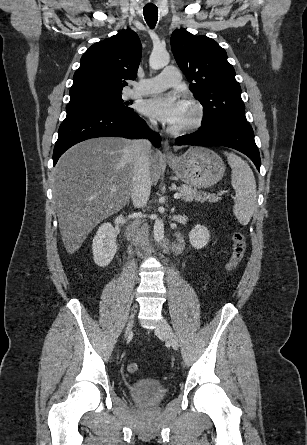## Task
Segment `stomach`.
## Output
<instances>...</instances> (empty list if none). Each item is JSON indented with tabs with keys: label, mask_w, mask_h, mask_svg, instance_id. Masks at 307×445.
Here are the masks:
<instances>
[{
	"label": "stomach",
	"mask_w": 307,
	"mask_h": 445,
	"mask_svg": "<svg viewBox=\"0 0 307 445\" xmlns=\"http://www.w3.org/2000/svg\"><path fill=\"white\" fill-rule=\"evenodd\" d=\"M168 164L185 184L198 188L216 184L225 172L222 158L205 146L189 148L182 156H176V160H168Z\"/></svg>",
	"instance_id": "obj_1"
}]
</instances>
